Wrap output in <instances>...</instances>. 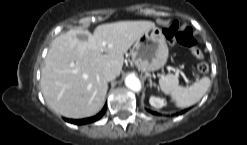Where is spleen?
<instances>
[{
	"label": "spleen",
	"instance_id": "spleen-1",
	"mask_svg": "<svg viewBox=\"0 0 247 145\" xmlns=\"http://www.w3.org/2000/svg\"><path fill=\"white\" fill-rule=\"evenodd\" d=\"M159 86L165 94L171 96L177 107L187 108L203 97L210 86V79L203 77L189 88L179 86L177 76L167 74L159 79Z\"/></svg>",
	"mask_w": 247,
	"mask_h": 145
}]
</instances>
